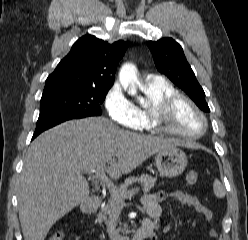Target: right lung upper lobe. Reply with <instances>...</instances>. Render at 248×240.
<instances>
[{
    "instance_id": "obj_1",
    "label": "right lung upper lobe",
    "mask_w": 248,
    "mask_h": 240,
    "mask_svg": "<svg viewBox=\"0 0 248 240\" xmlns=\"http://www.w3.org/2000/svg\"><path fill=\"white\" fill-rule=\"evenodd\" d=\"M127 47L128 43L121 40L109 44L93 35L81 37L48 76L44 91L58 88L110 89L117 64Z\"/></svg>"
}]
</instances>
